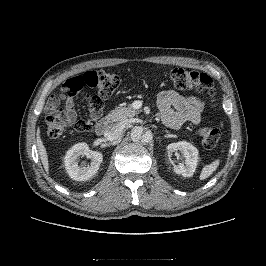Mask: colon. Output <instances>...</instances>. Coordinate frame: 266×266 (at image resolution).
<instances>
[{
    "label": "colon",
    "mask_w": 266,
    "mask_h": 266,
    "mask_svg": "<svg viewBox=\"0 0 266 266\" xmlns=\"http://www.w3.org/2000/svg\"><path fill=\"white\" fill-rule=\"evenodd\" d=\"M170 80L173 86L179 90L193 89L207 97L211 106L215 104V89L212 78L202 72L176 67L170 72ZM120 85L117 74L111 71H88L70 78L63 91L80 92L85 87L96 88L98 94L87 99L88 115L84 119H76L73 126L78 131L90 130L100 116L104 101L113 97ZM59 97L51 98L46 106V126L50 137L61 136L65 131V123L58 115ZM221 129L206 124L199 130V136L206 148H214L221 139Z\"/></svg>",
    "instance_id": "5ec220e1"
}]
</instances>
